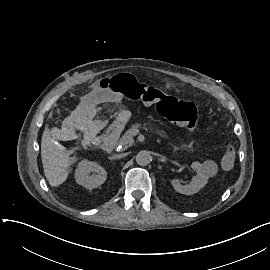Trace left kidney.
I'll use <instances>...</instances> for the list:
<instances>
[{
    "instance_id": "left-kidney-1",
    "label": "left kidney",
    "mask_w": 270,
    "mask_h": 270,
    "mask_svg": "<svg viewBox=\"0 0 270 270\" xmlns=\"http://www.w3.org/2000/svg\"><path fill=\"white\" fill-rule=\"evenodd\" d=\"M192 169L196 170L197 175L192 178V182L188 185H181L178 179L171 181L174 189L185 195H192L197 193L208 182V175L204 173L201 163L193 162L191 164Z\"/></svg>"
}]
</instances>
